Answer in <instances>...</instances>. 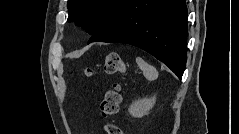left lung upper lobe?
<instances>
[{
	"mask_svg": "<svg viewBox=\"0 0 239 134\" xmlns=\"http://www.w3.org/2000/svg\"><path fill=\"white\" fill-rule=\"evenodd\" d=\"M124 0H68V22L83 27L90 35L105 28Z\"/></svg>",
	"mask_w": 239,
	"mask_h": 134,
	"instance_id": "5c2ea615",
	"label": "left lung upper lobe"
}]
</instances>
